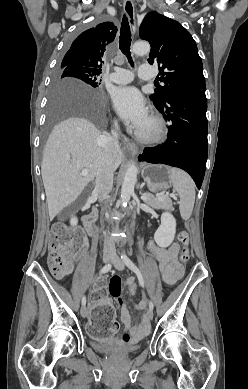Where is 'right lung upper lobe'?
I'll list each match as a JSON object with an SVG mask.
<instances>
[{"label": "right lung upper lobe", "instance_id": "cb5924a9", "mask_svg": "<svg viewBox=\"0 0 248 389\" xmlns=\"http://www.w3.org/2000/svg\"><path fill=\"white\" fill-rule=\"evenodd\" d=\"M117 27L111 22L98 24L80 34L63 58V65H71L100 72L105 47L116 37Z\"/></svg>", "mask_w": 248, "mask_h": 389}]
</instances>
